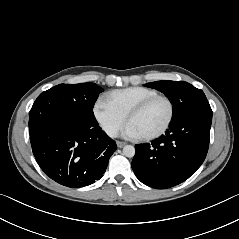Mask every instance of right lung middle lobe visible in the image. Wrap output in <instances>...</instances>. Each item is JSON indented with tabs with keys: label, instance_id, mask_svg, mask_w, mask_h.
<instances>
[{
	"label": "right lung middle lobe",
	"instance_id": "1",
	"mask_svg": "<svg viewBox=\"0 0 239 239\" xmlns=\"http://www.w3.org/2000/svg\"><path fill=\"white\" fill-rule=\"evenodd\" d=\"M103 89L95 83L59 84L41 93L29 112V134L46 127L97 125L94 103Z\"/></svg>",
	"mask_w": 239,
	"mask_h": 239
}]
</instances>
